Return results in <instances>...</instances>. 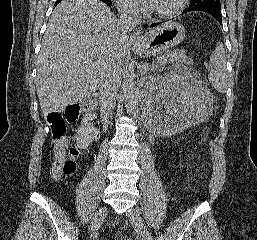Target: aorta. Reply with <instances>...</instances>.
<instances>
[{"instance_id":"obj_1","label":"aorta","mask_w":257,"mask_h":240,"mask_svg":"<svg viewBox=\"0 0 257 240\" xmlns=\"http://www.w3.org/2000/svg\"><path fill=\"white\" fill-rule=\"evenodd\" d=\"M125 107L127 113L132 115L138 107V89L134 80L133 70H129L123 82Z\"/></svg>"}]
</instances>
